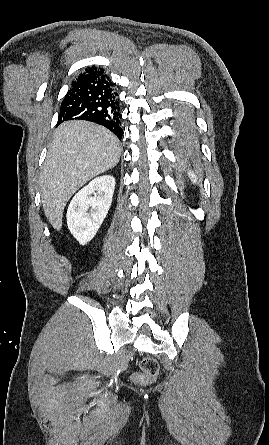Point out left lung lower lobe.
<instances>
[{
	"instance_id": "1",
	"label": "left lung lower lobe",
	"mask_w": 269,
	"mask_h": 445,
	"mask_svg": "<svg viewBox=\"0 0 269 445\" xmlns=\"http://www.w3.org/2000/svg\"><path fill=\"white\" fill-rule=\"evenodd\" d=\"M178 129L180 138L184 141L191 142L193 141L194 130L193 123L187 115H180L178 119Z\"/></svg>"
}]
</instances>
